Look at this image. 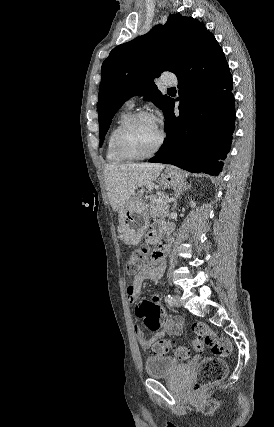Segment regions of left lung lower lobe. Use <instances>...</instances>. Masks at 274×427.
Wrapping results in <instances>:
<instances>
[{
	"instance_id": "obj_1",
	"label": "left lung lower lobe",
	"mask_w": 274,
	"mask_h": 427,
	"mask_svg": "<svg viewBox=\"0 0 274 427\" xmlns=\"http://www.w3.org/2000/svg\"><path fill=\"white\" fill-rule=\"evenodd\" d=\"M179 97L165 111L167 138L149 162L217 175L230 150L235 122L232 77L215 37L206 40L177 75ZM179 101V115L174 114Z\"/></svg>"
}]
</instances>
